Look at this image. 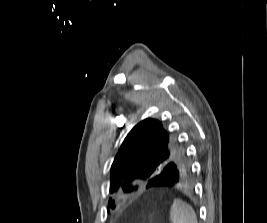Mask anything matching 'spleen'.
I'll return each instance as SVG.
<instances>
[{"label":"spleen","mask_w":267,"mask_h":223,"mask_svg":"<svg viewBox=\"0 0 267 223\" xmlns=\"http://www.w3.org/2000/svg\"><path fill=\"white\" fill-rule=\"evenodd\" d=\"M172 223H198L195 211L186 202L176 199L170 209Z\"/></svg>","instance_id":"1"}]
</instances>
